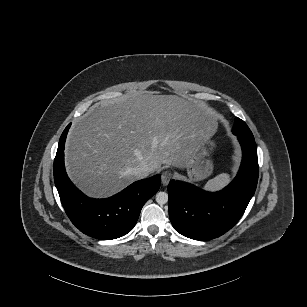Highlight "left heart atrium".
Returning a JSON list of instances; mask_svg holds the SVG:
<instances>
[{
	"label": "left heart atrium",
	"mask_w": 307,
	"mask_h": 307,
	"mask_svg": "<svg viewBox=\"0 0 307 307\" xmlns=\"http://www.w3.org/2000/svg\"><path fill=\"white\" fill-rule=\"evenodd\" d=\"M197 177H201V175H197Z\"/></svg>",
	"instance_id": "39dd6f15"
}]
</instances>
